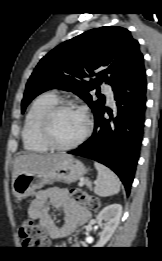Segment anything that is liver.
Segmentation results:
<instances>
[{"instance_id": "obj_1", "label": "liver", "mask_w": 162, "mask_h": 261, "mask_svg": "<svg viewBox=\"0 0 162 261\" xmlns=\"http://www.w3.org/2000/svg\"><path fill=\"white\" fill-rule=\"evenodd\" d=\"M66 154H24L18 156L13 165L12 183L15 178L24 172L43 171L51 168L58 160Z\"/></svg>"}]
</instances>
